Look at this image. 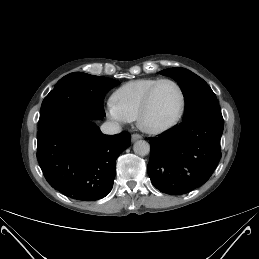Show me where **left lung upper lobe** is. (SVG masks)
<instances>
[{
  "label": "left lung upper lobe",
  "mask_w": 259,
  "mask_h": 259,
  "mask_svg": "<svg viewBox=\"0 0 259 259\" xmlns=\"http://www.w3.org/2000/svg\"><path fill=\"white\" fill-rule=\"evenodd\" d=\"M172 77L179 83L185 98V111L182 121L206 113H221L216 95L209 85L193 72L179 67L159 72Z\"/></svg>",
  "instance_id": "1"
}]
</instances>
